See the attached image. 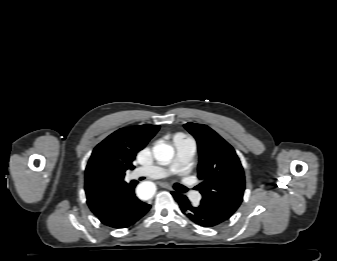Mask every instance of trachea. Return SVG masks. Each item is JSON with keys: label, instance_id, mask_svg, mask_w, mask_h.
Listing matches in <instances>:
<instances>
[{"label": "trachea", "instance_id": "3493384b", "mask_svg": "<svg viewBox=\"0 0 337 261\" xmlns=\"http://www.w3.org/2000/svg\"><path fill=\"white\" fill-rule=\"evenodd\" d=\"M177 190L181 193H184L187 191V188L185 186L178 185Z\"/></svg>", "mask_w": 337, "mask_h": 261}]
</instances>
